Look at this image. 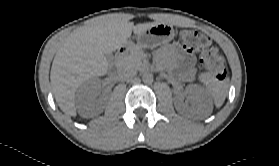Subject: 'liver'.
<instances>
[{
    "label": "liver",
    "mask_w": 279,
    "mask_h": 166,
    "mask_svg": "<svg viewBox=\"0 0 279 166\" xmlns=\"http://www.w3.org/2000/svg\"><path fill=\"white\" fill-rule=\"evenodd\" d=\"M157 23L134 25L123 14L104 15L66 37L54 57L50 80L60 109L76 116L75 92L85 81L108 71L105 53H112Z\"/></svg>",
    "instance_id": "1"
}]
</instances>
